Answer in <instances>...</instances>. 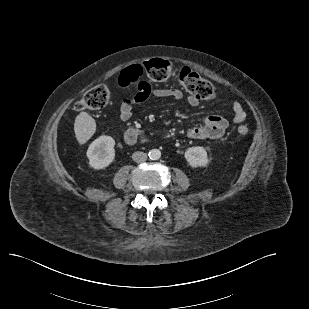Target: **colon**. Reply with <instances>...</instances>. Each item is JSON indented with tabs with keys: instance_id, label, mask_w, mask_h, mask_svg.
<instances>
[{
	"instance_id": "colon-1",
	"label": "colon",
	"mask_w": 309,
	"mask_h": 309,
	"mask_svg": "<svg viewBox=\"0 0 309 309\" xmlns=\"http://www.w3.org/2000/svg\"><path fill=\"white\" fill-rule=\"evenodd\" d=\"M154 81H166L175 73L174 65L162 59H153L142 65H133L125 69L124 77L130 82H138L143 73ZM178 78L183 89L190 95L202 100L215 98L213 85L189 67H183L178 72ZM111 99L110 89L106 85H97L88 90L76 104V110H95L107 105ZM237 132L244 136L248 133L245 125H240Z\"/></svg>"
}]
</instances>
